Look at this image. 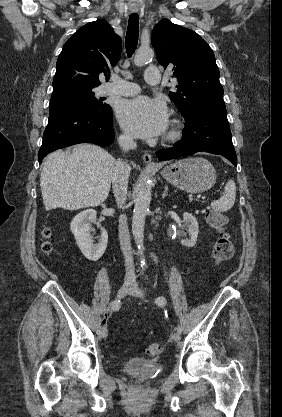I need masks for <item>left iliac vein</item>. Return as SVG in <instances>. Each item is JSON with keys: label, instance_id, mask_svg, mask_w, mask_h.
I'll use <instances>...</instances> for the list:
<instances>
[{"label": "left iliac vein", "instance_id": "obj_1", "mask_svg": "<svg viewBox=\"0 0 282 417\" xmlns=\"http://www.w3.org/2000/svg\"><path fill=\"white\" fill-rule=\"evenodd\" d=\"M129 294L133 295V296H137V297L143 296V292L141 291V289L138 287L137 284H134L132 286V289L129 292ZM172 338L174 339V341L178 342L181 339L180 333L179 332H174L172 334Z\"/></svg>", "mask_w": 282, "mask_h": 417}]
</instances>
